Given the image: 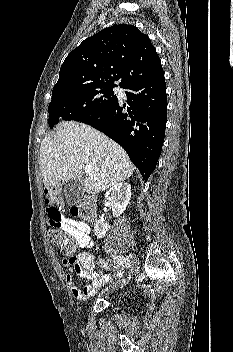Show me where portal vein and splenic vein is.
Masks as SVG:
<instances>
[{
    "mask_svg": "<svg viewBox=\"0 0 233 352\" xmlns=\"http://www.w3.org/2000/svg\"><path fill=\"white\" fill-rule=\"evenodd\" d=\"M84 170H85V172H86L87 174H89V175L93 172L92 166H91V165H88V164L85 165Z\"/></svg>",
    "mask_w": 233,
    "mask_h": 352,
    "instance_id": "portal-vein-and-splenic-vein-1",
    "label": "portal vein and splenic vein"
}]
</instances>
